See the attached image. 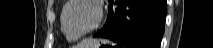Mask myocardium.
<instances>
[{
	"instance_id": "1",
	"label": "myocardium",
	"mask_w": 213,
	"mask_h": 48,
	"mask_svg": "<svg viewBox=\"0 0 213 48\" xmlns=\"http://www.w3.org/2000/svg\"><path fill=\"white\" fill-rule=\"evenodd\" d=\"M78 2H86V3H89L92 6H94V8L96 9V12H97V17H96V21H95L94 25L91 28H89L87 31H84L82 33H73L67 28L66 14H67V11L69 10V8ZM103 16H104V12H103L102 5L97 0H70L67 2L66 6L64 7V9L62 11V15H61L62 30L71 37H74L77 39L82 38V37L94 32L100 26V24L103 20Z\"/></svg>"
}]
</instances>
